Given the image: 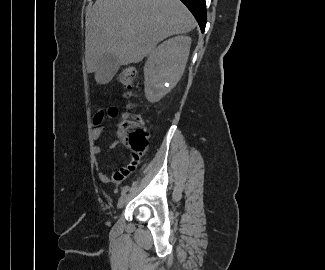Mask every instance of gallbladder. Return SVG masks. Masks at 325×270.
Masks as SVG:
<instances>
[{"label":"gallbladder","instance_id":"1","mask_svg":"<svg viewBox=\"0 0 325 270\" xmlns=\"http://www.w3.org/2000/svg\"><path fill=\"white\" fill-rule=\"evenodd\" d=\"M100 63L102 65V70H99V73L108 78H112L120 67L117 58L112 54L104 55L101 58Z\"/></svg>","mask_w":325,"mask_h":270}]
</instances>
